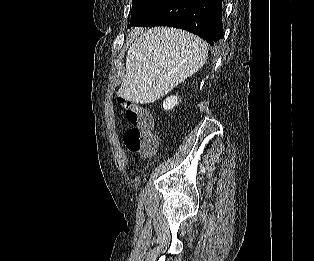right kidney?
<instances>
[{
  "label": "right kidney",
  "instance_id": "obj_1",
  "mask_svg": "<svg viewBox=\"0 0 314 261\" xmlns=\"http://www.w3.org/2000/svg\"><path fill=\"white\" fill-rule=\"evenodd\" d=\"M178 103V96H170L167 97L163 102V108L164 110H172Z\"/></svg>",
  "mask_w": 314,
  "mask_h": 261
}]
</instances>
